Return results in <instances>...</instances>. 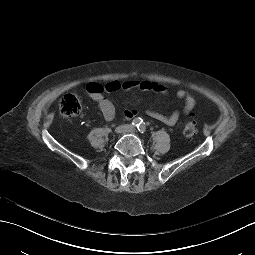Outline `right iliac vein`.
<instances>
[{
  "instance_id": "63e3f726",
  "label": "right iliac vein",
  "mask_w": 255,
  "mask_h": 255,
  "mask_svg": "<svg viewBox=\"0 0 255 255\" xmlns=\"http://www.w3.org/2000/svg\"><path fill=\"white\" fill-rule=\"evenodd\" d=\"M127 128H128V127L125 126V125H120V126L116 127L115 133H116L117 135H120V134L126 132Z\"/></svg>"
}]
</instances>
